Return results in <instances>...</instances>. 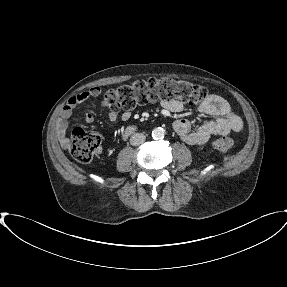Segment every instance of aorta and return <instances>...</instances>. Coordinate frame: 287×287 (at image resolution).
<instances>
[{
	"label": "aorta",
	"mask_w": 287,
	"mask_h": 287,
	"mask_svg": "<svg viewBox=\"0 0 287 287\" xmlns=\"http://www.w3.org/2000/svg\"><path fill=\"white\" fill-rule=\"evenodd\" d=\"M166 131L162 127H157L152 130V137L155 140L164 138Z\"/></svg>",
	"instance_id": "762f6f07"
}]
</instances>
